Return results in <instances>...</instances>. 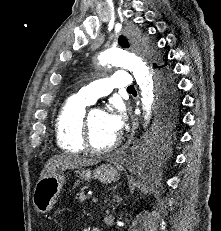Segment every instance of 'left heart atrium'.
<instances>
[{
    "mask_svg": "<svg viewBox=\"0 0 221 231\" xmlns=\"http://www.w3.org/2000/svg\"><path fill=\"white\" fill-rule=\"evenodd\" d=\"M106 123L108 128L118 134L124 125L125 116L121 109L117 108L115 111L105 113Z\"/></svg>",
    "mask_w": 221,
    "mask_h": 231,
    "instance_id": "obj_1",
    "label": "left heart atrium"
}]
</instances>
